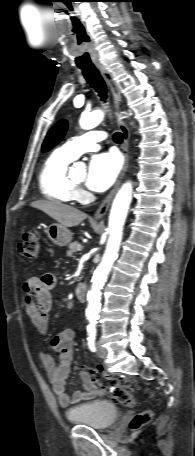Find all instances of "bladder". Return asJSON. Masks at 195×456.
<instances>
[{
  "instance_id": "1",
  "label": "bladder",
  "mask_w": 195,
  "mask_h": 456,
  "mask_svg": "<svg viewBox=\"0 0 195 456\" xmlns=\"http://www.w3.org/2000/svg\"><path fill=\"white\" fill-rule=\"evenodd\" d=\"M120 411L110 401H93L81 404L67 411L68 420L76 425L103 430L113 425Z\"/></svg>"
}]
</instances>
